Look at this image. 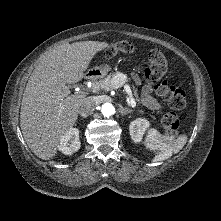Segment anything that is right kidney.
I'll return each mask as SVG.
<instances>
[{"label":"right kidney","mask_w":221,"mask_h":221,"mask_svg":"<svg viewBox=\"0 0 221 221\" xmlns=\"http://www.w3.org/2000/svg\"><path fill=\"white\" fill-rule=\"evenodd\" d=\"M80 148L79 130L70 129L60 140L58 149L66 155H71Z\"/></svg>","instance_id":"ca27d5eb"}]
</instances>
